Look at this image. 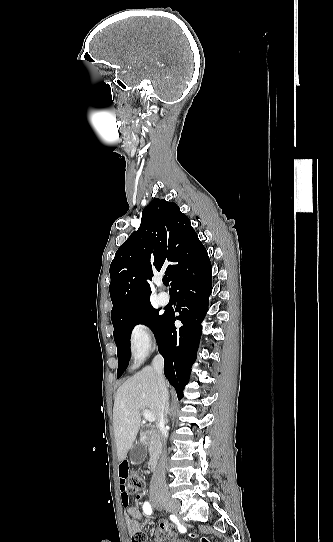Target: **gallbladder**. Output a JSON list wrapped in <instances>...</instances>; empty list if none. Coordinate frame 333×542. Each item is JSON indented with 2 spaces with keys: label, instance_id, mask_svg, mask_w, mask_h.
Wrapping results in <instances>:
<instances>
[{
  "label": "gallbladder",
  "instance_id": "obj_1",
  "mask_svg": "<svg viewBox=\"0 0 333 542\" xmlns=\"http://www.w3.org/2000/svg\"><path fill=\"white\" fill-rule=\"evenodd\" d=\"M142 434H149L150 428H142L141 430ZM147 456V446L142 442V440H138L136 444H134L133 448H131L130 452V462L132 464H141V462H144L145 458Z\"/></svg>",
  "mask_w": 333,
  "mask_h": 542
}]
</instances>
